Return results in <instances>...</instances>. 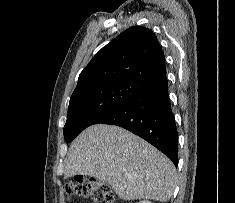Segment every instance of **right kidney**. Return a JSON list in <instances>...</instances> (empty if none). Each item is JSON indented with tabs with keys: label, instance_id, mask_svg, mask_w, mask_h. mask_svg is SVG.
<instances>
[{
	"label": "right kidney",
	"instance_id": "1",
	"mask_svg": "<svg viewBox=\"0 0 235 203\" xmlns=\"http://www.w3.org/2000/svg\"><path fill=\"white\" fill-rule=\"evenodd\" d=\"M139 203H152V202H150V201H140Z\"/></svg>",
	"mask_w": 235,
	"mask_h": 203
}]
</instances>
